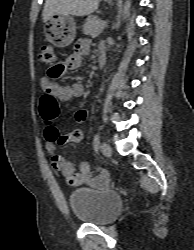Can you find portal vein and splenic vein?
Listing matches in <instances>:
<instances>
[{
    "label": "portal vein and splenic vein",
    "instance_id": "1",
    "mask_svg": "<svg viewBox=\"0 0 194 250\" xmlns=\"http://www.w3.org/2000/svg\"><path fill=\"white\" fill-rule=\"evenodd\" d=\"M107 22L106 21H103V24L102 25H105Z\"/></svg>",
    "mask_w": 194,
    "mask_h": 250
}]
</instances>
